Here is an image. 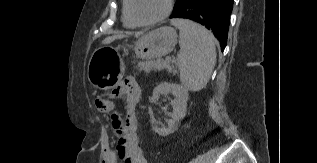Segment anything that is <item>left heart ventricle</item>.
Instances as JSON below:
<instances>
[{
	"mask_svg": "<svg viewBox=\"0 0 317 163\" xmlns=\"http://www.w3.org/2000/svg\"><path fill=\"white\" fill-rule=\"evenodd\" d=\"M166 0H133L134 15L141 21L154 19L162 14Z\"/></svg>",
	"mask_w": 317,
	"mask_h": 163,
	"instance_id": "left-heart-ventricle-1",
	"label": "left heart ventricle"
}]
</instances>
